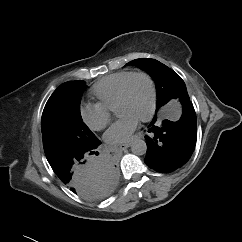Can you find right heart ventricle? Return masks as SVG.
Returning a JSON list of instances; mask_svg holds the SVG:
<instances>
[{"label":"right heart ventricle","instance_id":"right-heart-ventricle-1","mask_svg":"<svg viewBox=\"0 0 242 242\" xmlns=\"http://www.w3.org/2000/svg\"><path fill=\"white\" fill-rule=\"evenodd\" d=\"M133 71H120L110 74L91 88V94L98 99V103L108 110H115L122 85Z\"/></svg>","mask_w":242,"mask_h":242}]
</instances>
